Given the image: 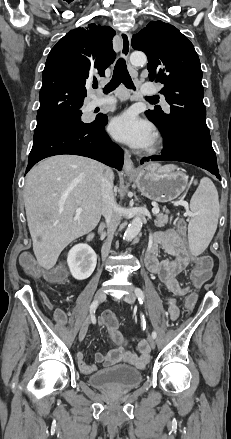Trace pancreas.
I'll list each match as a JSON object with an SVG mask.
<instances>
[{
    "label": "pancreas",
    "instance_id": "1",
    "mask_svg": "<svg viewBox=\"0 0 231 439\" xmlns=\"http://www.w3.org/2000/svg\"><path fill=\"white\" fill-rule=\"evenodd\" d=\"M167 223H168V215L156 214V218L154 220V224L156 227L158 228L164 227L165 224Z\"/></svg>",
    "mask_w": 231,
    "mask_h": 439
}]
</instances>
